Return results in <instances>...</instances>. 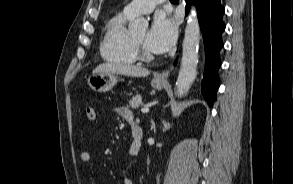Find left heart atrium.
I'll use <instances>...</instances> for the list:
<instances>
[{"mask_svg": "<svg viewBox=\"0 0 293 184\" xmlns=\"http://www.w3.org/2000/svg\"><path fill=\"white\" fill-rule=\"evenodd\" d=\"M176 27L166 17H156L146 36V46L152 53L167 52L175 43Z\"/></svg>", "mask_w": 293, "mask_h": 184, "instance_id": "39dd6f15", "label": "left heart atrium"}]
</instances>
